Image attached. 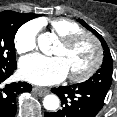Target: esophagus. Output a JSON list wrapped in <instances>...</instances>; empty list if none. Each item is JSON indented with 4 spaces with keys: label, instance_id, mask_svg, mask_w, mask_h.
Segmentation results:
<instances>
[{
    "label": "esophagus",
    "instance_id": "1",
    "mask_svg": "<svg viewBox=\"0 0 117 117\" xmlns=\"http://www.w3.org/2000/svg\"><path fill=\"white\" fill-rule=\"evenodd\" d=\"M33 91H34L36 94L40 95V96L46 95V94L49 92L48 89L42 88V87H37V86H34V87H33Z\"/></svg>",
    "mask_w": 117,
    "mask_h": 117
}]
</instances>
